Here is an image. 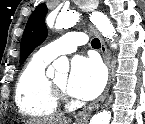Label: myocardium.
<instances>
[{
	"instance_id": "f54148a6",
	"label": "myocardium",
	"mask_w": 145,
	"mask_h": 124,
	"mask_svg": "<svg viewBox=\"0 0 145 124\" xmlns=\"http://www.w3.org/2000/svg\"><path fill=\"white\" fill-rule=\"evenodd\" d=\"M48 83L53 97L57 102L66 103L68 101V95L65 89L60 88L52 79H48Z\"/></svg>"
}]
</instances>
